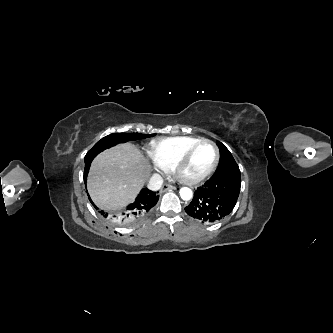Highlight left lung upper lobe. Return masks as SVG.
<instances>
[{
  "mask_svg": "<svg viewBox=\"0 0 333 333\" xmlns=\"http://www.w3.org/2000/svg\"><path fill=\"white\" fill-rule=\"evenodd\" d=\"M218 147L220 150V163L217 171L228 169L232 166H237V163L235 162L232 154L221 142H218Z\"/></svg>",
  "mask_w": 333,
  "mask_h": 333,
  "instance_id": "1",
  "label": "left lung upper lobe"
}]
</instances>
